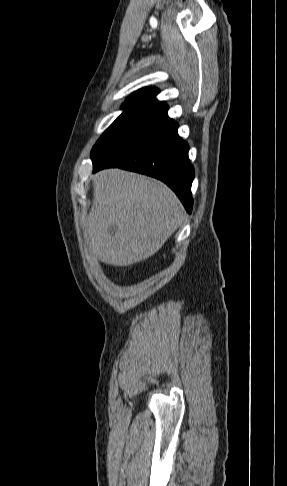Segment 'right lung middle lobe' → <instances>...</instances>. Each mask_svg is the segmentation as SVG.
Segmentation results:
<instances>
[{"label":"right lung middle lobe","instance_id":"1","mask_svg":"<svg viewBox=\"0 0 287 486\" xmlns=\"http://www.w3.org/2000/svg\"><path fill=\"white\" fill-rule=\"evenodd\" d=\"M124 112L111 124L91 151L93 164L123 148L168 118L167 110L122 107Z\"/></svg>","mask_w":287,"mask_h":486}]
</instances>
